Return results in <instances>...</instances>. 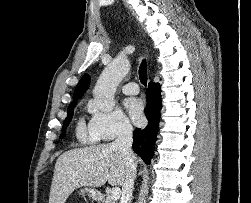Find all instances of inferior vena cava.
Instances as JSON below:
<instances>
[{"label":"inferior vena cava","instance_id":"inferior-vena-cava-1","mask_svg":"<svg viewBox=\"0 0 251 203\" xmlns=\"http://www.w3.org/2000/svg\"><path fill=\"white\" fill-rule=\"evenodd\" d=\"M132 131L133 128L129 122H124L120 129L116 140L112 143L123 156L126 166V178L122 186V196L120 203H131L134 179L136 176V162L132 151Z\"/></svg>","mask_w":251,"mask_h":203}]
</instances>
